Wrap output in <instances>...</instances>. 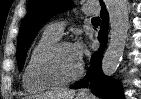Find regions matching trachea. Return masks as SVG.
Returning a JSON list of instances; mask_svg holds the SVG:
<instances>
[{
  "label": "trachea",
  "instance_id": "1",
  "mask_svg": "<svg viewBox=\"0 0 141 99\" xmlns=\"http://www.w3.org/2000/svg\"><path fill=\"white\" fill-rule=\"evenodd\" d=\"M92 22L93 23H99L100 22V18L99 17H94V18H92Z\"/></svg>",
  "mask_w": 141,
  "mask_h": 99
}]
</instances>
